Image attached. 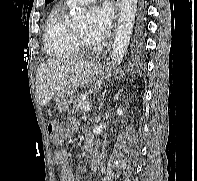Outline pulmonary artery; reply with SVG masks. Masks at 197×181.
<instances>
[{
    "label": "pulmonary artery",
    "instance_id": "e3ab8cb5",
    "mask_svg": "<svg viewBox=\"0 0 197 181\" xmlns=\"http://www.w3.org/2000/svg\"><path fill=\"white\" fill-rule=\"evenodd\" d=\"M72 1L77 4H89L95 0H72Z\"/></svg>",
    "mask_w": 197,
    "mask_h": 181
}]
</instances>
